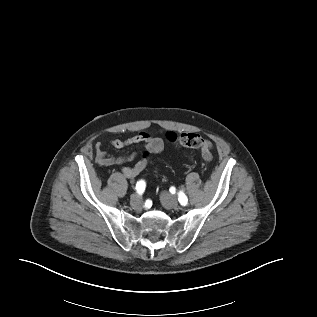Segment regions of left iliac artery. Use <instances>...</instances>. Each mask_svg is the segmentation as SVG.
<instances>
[{
	"label": "left iliac artery",
	"mask_w": 317,
	"mask_h": 317,
	"mask_svg": "<svg viewBox=\"0 0 317 317\" xmlns=\"http://www.w3.org/2000/svg\"><path fill=\"white\" fill-rule=\"evenodd\" d=\"M178 201L180 202L181 205L185 206L188 203L187 196L183 192H179L178 194Z\"/></svg>",
	"instance_id": "left-iliac-artery-1"
}]
</instances>
